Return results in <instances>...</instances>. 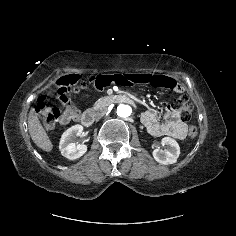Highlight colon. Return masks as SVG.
<instances>
[{
	"instance_id": "colon-1",
	"label": "colon",
	"mask_w": 236,
	"mask_h": 236,
	"mask_svg": "<svg viewBox=\"0 0 236 236\" xmlns=\"http://www.w3.org/2000/svg\"><path fill=\"white\" fill-rule=\"evenodd\" d=\"M86 89L87 83L83 80L74 77L65 78L57 88V100L64 105L73 99L83 96ZM172 108L181 112L183 120L188 121L191 119L193 106L187 96L174 99ZM36 112L46 129L52 130L55 128L60 118V109L56 105L47 104L44 99H41L36 106ZM197 133V126L194 124L190 125L188 137L194 139Z\"/></svg>"
}]
</instances>
